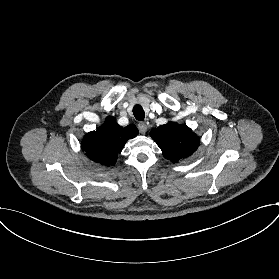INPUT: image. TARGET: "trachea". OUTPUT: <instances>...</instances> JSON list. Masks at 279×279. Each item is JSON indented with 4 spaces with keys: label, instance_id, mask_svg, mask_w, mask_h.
<instances>
[{
    "label": "trachea",
    "instance_id": "3493384b",
    "mask_svg": "<svg viewBox=\"0 0 279 279\" xmlns=\"http://www.w3.org/2000/svg\"><path fill=\"white\" fill-rule=\"evenodd\" d=\"M133 114H134L135 118L139 121H142L145 117V112L140 105H136L133 108Z\"/></svg>",
    "mask_w": 279,
    "mask_h": 279
}]
</instances>
